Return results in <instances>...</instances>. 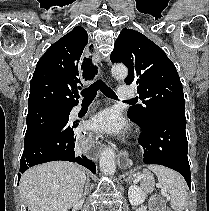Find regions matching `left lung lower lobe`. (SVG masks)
Wrapping results in <instances>:
<instances>
[{"label":"left lung lower lobe","instance_id":"0a47b994","mask_svg":"<svg viewBox=\"0 0 209 211\" xmlns=\"http://www.w3.org/2000/svg\"><path fill=\"white\" fill-rule=\"evenodd\" d=\"M129 118L142 130L139 144L144 149L143 162L163 165L178 171L191 189L185 113L161 114L146 124H142L130 116Z\"/></svg>","mask_w":209,"mask_h":211}]
</instances>
